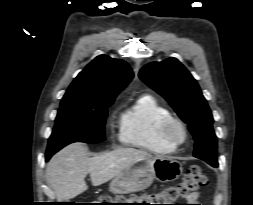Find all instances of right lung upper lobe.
I'll list each match as a JSON object with an SVG mask.
<instances>
[{
    "label": "right lung upper lobe",
    "instance_id": "cb5924a9",
    "mask_svg": "<svg viewBox=\"0 0 253 205\" xmlns=\"http://www.w3.org/2000/svg\"><path fill=\"white\" fill-rule=\"evenodd\" d=\"M132 78L133 72L125 61L100 55L74 79L61 104L95 105L115 99Z\"/></svg>",
    "mask_w": 253,
    "mask_h": 205
}]
</instances>
